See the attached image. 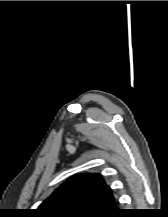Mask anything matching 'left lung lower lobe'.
I'll use <instances>...</instances> for the list:
<instances>
[{
  "mask_svg": "<svg viewBox=\"0 0 168 217\" xmlns=\"http://www.w3.org/2000/svg\"><path fill=\"white\" fill-rule=\"evenodd\" d=\"M122 213L121 209H117V203L114 202L113 206L101 217H120Z\"/></svg>",
  "mask_w": 168,
  "mask_h": 217,
  "instance_id": "left-lung-lower-lobe-1",
  "label": "left lung lower lobe"
}]
</instances>
